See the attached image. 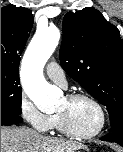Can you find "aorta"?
<instances>
[{
    "label": "aorta",
    "mask_w": 123,
    "mask_h": 152,
    "mask_svg": "<svg viewBox=\"0 0 123 152\" xmlns=\"http://www.w3.org/2000/svg\"><path fill=\"white\" fill-rule=\"evenodd\" d=\"M60 40L55 26L38 30L31 40L22 60V85L27 96L42 112L54 111L59 103L58 90L43 76V67Z\"/></svg>",
    "instance_id": "762f6f07"
}]
</instances>
